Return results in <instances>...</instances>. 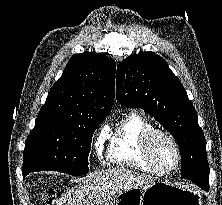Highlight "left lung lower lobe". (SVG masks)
<instances>
[{
    "mask_svg": "<svg viewBox=\"0 0 222 205\" xmlns=\"http://www.w3.org/2000/svg\"><path fill=\"white\" fill-rule=\"evenodd\" d=\"M181 164H182V172L185 179L191 180L196 183L199 187L208 190L209 183H202V181L195 177V171L201 169V162L195 155L190 154H181Z\"/></svg>",
    "mask_w": 222,
    "mask_h": 205,
    "instance_id": "0a47b994",
    "label": "left lung lower lobe"
}]
</instances>
